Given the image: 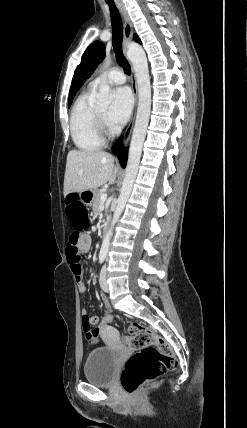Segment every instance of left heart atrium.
<instances>
[{
    "label": "left heart atrium",
    "instance_id": "39dd6f15",
    "mask_svg": "<svg viewBox=\"0 0 247 428\" xmlns=\"http://www.w3.org/2000/svg\"><path fill=\"white\" fill-rule=\"evenodd\" d=\"M133 107L130 90L121 87L113 92V101L106 114V122L113 127H120L129 119Z\"/></svg>",
    "mask_w": 247,
    "mask_h": 428
}]
</instances>
